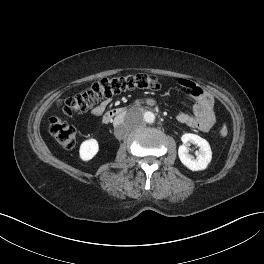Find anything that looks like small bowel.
Masks as SVG:
<instances>
[{
    "mask_svg": "<svg viewBox=\"0 0 264 264\" xmlns=\"http://www.w3.org/2000/svg\"><path fill=\"white\" fill-rule=\"evenodd\" d=\"M178 82L180 86L190 92L192 98L195 100V104L193 114L179 112L176 114V120L202 132L210 131L215 123L214 100L212 96L189 79L182 78ZM110 102V98L102 100L91 110V114L95 117H100Z\"/></svg>",
    "mask_w": 264,
    "mask_h": 264,
    "instance_id": "small-bowel-1",
    "label": "small bowel"
}]
</instances>
